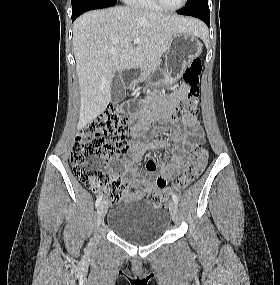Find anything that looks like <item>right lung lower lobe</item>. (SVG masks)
Instances as JSON below:
<instances>
[{
    "label": "right lung lower lobe",
    "instance_id": "obj_1",
    "mask_svg": "<svg viewBox=\"0 0 280 285\" xmlns=\"http://www.w3.org/2000/svg\"><path fill=\"white\" fill-rule=\"evenodd\" d=\"M116 3L113 4H90L85 7H82L76 11H72V22L82 13L92 10V9H100V8H106L110 6H114Z\"/></svg>",
    "mask_w": 280,
    "mask_h": 285
}]
</instances>
